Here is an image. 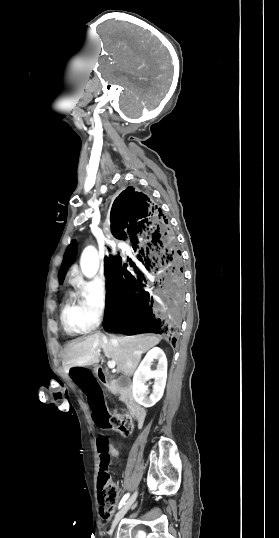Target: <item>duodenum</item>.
<instances>
[{
  "label": "duodenum",
  "mask_w": 279,
  "mask_h": 538,
  "mask_svg": "<svg viewBox=\"0 0 279 538\" xmlns=\"http://www.w3.org/2000/svg\"><path fill=\"white\" fill-rule=\"evenodd\" d=\"M95 378L99 381L100 385L104 387L113 388V391H120L122 387L118 386V382L113 381L111 374L106 366L98 365L95 369ZM134 383L128 381L126 387H124L125 393L122 395L124 400L128 399L127 411L129 413H136L134 417L136 418V423H134V428L142 429L144 427L143 423H146V411L140 408V404L136 401L135 396L132 394Z\"/></svg>",
  "instance_id": "obj_1"
}]
</instances>
